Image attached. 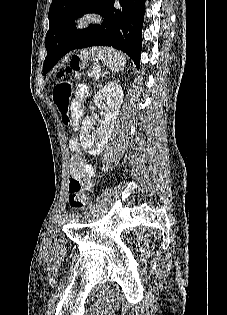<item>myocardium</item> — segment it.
<instances>
[{
    "instance_id": "f54148a6",
    "label": "myocardium",
    "mask_w": 227,
    "mask_h": 315,
    "mask_svg": "<svg viewBox=\"0 0 227 315\" xmlns=\"http://www.w3.org/2000/svg\"><path fill=\"white\" fill-rule=\"evenodd\" d=\"M96 22V18L92 14H79L72 20V27L76 30H85L90 28Z\"/></svg>"
}]
</instances>
